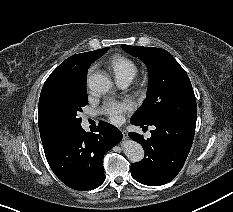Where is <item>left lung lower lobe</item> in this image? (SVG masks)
<instances>
[{
	"label": "left lung lower lobe",
	"instance_id": "1",
	"mask_svg": "<svg viewBox=\"0 0 233 212\" xmlns=\"http://www.w3.org/2000/svg\"><path fill=\"white\" fill-rule=\"evenodd\" d=\"M131 123L142 128L148 126L133 120ZM149 125L155 129L147 140L143 135L129 133L145 150L144 158L131 165V175L142 184L160 186L174 179L182 169L193 142L196 121L161 117Z\"/></svg>",
	"mask_w": 233,
	"mask_h": 212
}]
</instances>
